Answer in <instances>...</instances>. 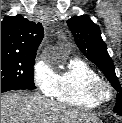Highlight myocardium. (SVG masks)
I'll return each instance as SVG.
<instances>
[{"instance_id": "1", "label": "myocardium", "mask_w": 122, "mask_h": 123, "mask_svg": "<svg viewBox=\"0 0 122 123\" xmlns=\"http://www.w3.org/2000/svg\"><path fill=\"white\" fill-rule=\"evenodd\" d=\"M87 94L99 104L108 102L113 96V88L109 82L99 78L88 83Z\"/></svg>"}]
</instances>
